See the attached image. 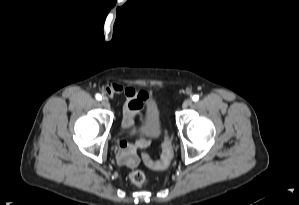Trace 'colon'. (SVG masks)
I'll list each match as a JSON object with an SVG mask.
<instances>
[{"label":"colon","mask_w":299,"mask_h":205,"mask_svg":"<svg viewBox=\"0 0 299 205\" xmlns=\"http://www.w3.org/2000/svg\"><path fill=\"white\" fill-rule=\"evenodd\" d=\"M173 157V149L170 141L167 139L163 144L161 158L158 161H153L147 154H143L146 164L152 169H164L169 164ZM130 180L136 186H143L147 183L148 178L146 174L140 169H134L130 172Z\"/></svg>","instance_id":"5ec220e1"}]
</instances>
